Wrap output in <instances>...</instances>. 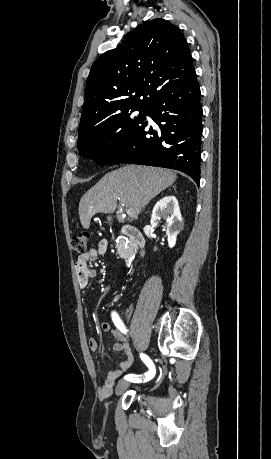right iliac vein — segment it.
I'll return each mask as SVG.
<instances>
[{"label": "right iliac vein", "instance_id": "obj_1", "mask_svg": "<svg viewBox=\"0 0 271 459\" xmlns=\"http://www.w3.org/2000/svg\"><path fill=\"white\" fill-rule=\"evenodd\" d=\"M130 386V383L127 380H121L118 382L116 386V391L115 393L117 395L123 393L128 387Z\"/></svg>", "mask_w": 271, "mask_h": 459}]
</instances>
